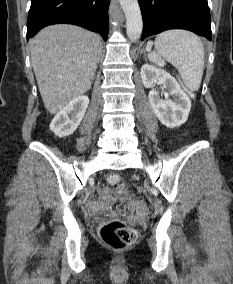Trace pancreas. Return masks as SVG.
Returning <instances> with one entry per match:
<instances>
[{
    "instance_id": "obj_1",
    "label": "pancreas",
    "mask_w": 233,
    "mask_h": 284,
    "mask_svg": "<svg viewBox=\"0 0 233 284\" xmlns=\"http://www.w3.org/2000/svg\"><path fill=\"white\" fill-rule=\"evenodd\" d=\"M158 64H160V65H163L164 64V62L159 58V59H157V61H156Z\"/></svg>"
}]
</instances>
